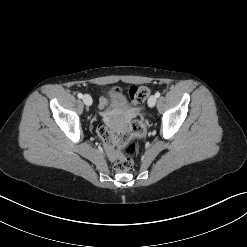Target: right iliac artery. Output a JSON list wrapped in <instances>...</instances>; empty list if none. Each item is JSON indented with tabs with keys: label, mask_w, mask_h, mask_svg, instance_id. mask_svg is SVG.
I'll return each instance as SVG.
<instances>
[{
	"label": "right iliac artery",
	"mask_w": 247,
	"mask_h": 247,
	"mask_svg": "<svg viewBox=\"0 0 247 247\" xmlns=\"http://www.w3.org/2000/svg\"><path fill=\"white\" fill-rule=\"evenodd\" d=\"M77 96H78V98H80V99L83 98V95H82L81 93H78Z\"/></svg>",
	"instance_id": "82829eb1"
}]
</instances>
